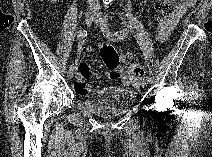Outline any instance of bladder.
<instances>
[{
  "instance_id": "1",
  "label": "bladder",
  "mask_w": 212,
  "mask_h": 157,
  "mask_svg": "<svg viewBox=\"0 0 212 157\" xmlns=\"http://www.w3.org/2000/svg\"><path fill=\"white\" fill-rule=\"evenodd\" d=\"M136 100V91L121 86H106L84 95V106L102 117H115L127 112Z\"/></svg>"
}]
</instances>
